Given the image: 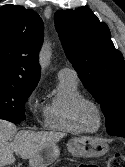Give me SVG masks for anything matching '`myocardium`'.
I'll return each instance as SVG.
<instances>
[{
    "mask_svg": "<svg viewBox=\"0 0 125 167\" xmlns=\"http://www.w3.org/2000/svg\"><path fill=\"white\" fill-rule=\"evenodd\" d=\"M85 105H91L97 112L98 115V125L95 129H88L86 128L81 120V110ZM72 117L74 122L76 123V125L79 127V129L83 132H89V133H93L98 131L101 126H102V121H103V117H102V112L101 109L99 107V105L92 99L90 98H86V97H81L80 99H78L73 107H72Z\"/></svg>",
    "mask_w": 125,
    "mask_h": 167,
    "instance_id": "1",
    "label": "myocardium"
}]
</instances>
